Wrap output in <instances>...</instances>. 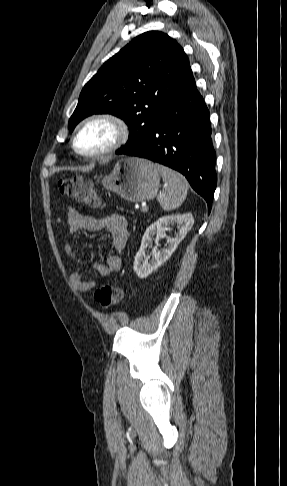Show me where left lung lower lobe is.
<instances>
[{
    "label": "left lung lower lobe",
    "instance_id": "obj_1",
    "mask_svg": "<svg viewBox=\"0 0 287 486\" xmlns=\"http://www.w3.org/2000/svg\"><path fill=\"white\" fill-rule=\"evenodd\" d=\"M209 110L192 78L168 103L144 141L118 154L137 156L181 172L210 211L217 184Z\"/></svg>",
    "mask_w": 287,
    "mask_h": 486
}]
</instances>
